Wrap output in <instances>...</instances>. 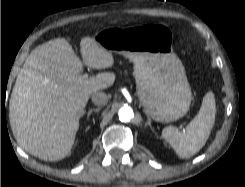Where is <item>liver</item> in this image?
I'll list each match as a JSON object with an SVG mask.
<instances>
[{"label": "liver", "instance_id": "6515ba94", "mask_svg": "<svg viewBox=\"0 0 245 187\" xmlns=\"http://www.w3.org/2000/svg\"><path fill=\"white\" fill-rule=\"evenodd\" d=\"M83 62L64 38L31 51L19 71L9 102V119L19 146L46 161L64 159L72 150L79 119L89 97L113 85L115 74L82 75L83 63L93 69L112 67V52L93 37L80 42Z\"/></svg>", "mask_w": 245, "mask_h": 187}]
</instances>
